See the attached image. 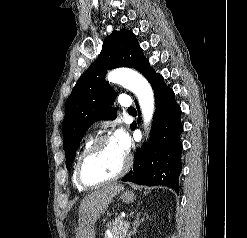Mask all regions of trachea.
<instances>
[{"instance_id": "obj_1", "label": "trachea", "mask_w": 247, "mask_h": 238, "mask_svg": "<svg viewBox=\"0 0 247 238\" xmlns=\"http://www.w3.org/2000/svg\"><path fill=\"white\" fill-rule=\"evenodd\" d=\"M129 110L132 111V110H135V109L133 107H130Z\"/></svg>"}]
</instances>
